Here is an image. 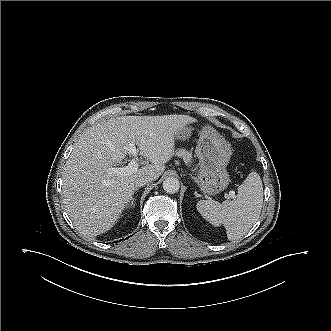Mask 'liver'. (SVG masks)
<instances>
[{"label": "liver", "mask_w": 331, "mask_h": 331, "mask_svg": "<svg viewBox=\"0 0 331 331\" xmlns=\"http://www.w3.org/2000/svg\"><path fill=\"white\" fill-rule=\"evenodd\" d=\"M194 118L186 115L123 116L93 126L78 141L63 174L67 212L83 234L111 229L142 175L158 179L174 155L175 135ZM130 143L151 162L136 172L118 175L110 168L123 163Z\"/></svg>", "instance_id": "obj_1"}]
</instances>
